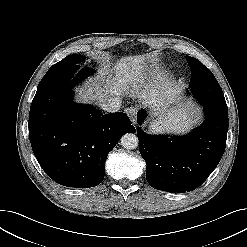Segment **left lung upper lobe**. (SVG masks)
<instances>
[{
    "instance_id": "1",
    "label": "left lung upper lobe",
    "mask_w": 247,
    "mask_h": 247,
    "mask_svg": "<svg viewBox=\"0 0 247 247\" xmlns=\"http://www.w3.org/2000/svg\"><path fill=\"white\" fill-rule=\"evenodd\" d=\"M186 60L190 66L191 69V78L195 75H197L199 73V71L201 70V68L205 67L199 60L190 57V56H186Z\"/></svg>"
}]
</instances>
